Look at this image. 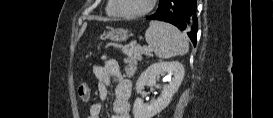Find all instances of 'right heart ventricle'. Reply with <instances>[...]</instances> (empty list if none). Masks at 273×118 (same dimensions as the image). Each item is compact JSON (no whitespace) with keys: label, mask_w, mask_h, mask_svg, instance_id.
<instances>
[{"label":"right heart ventricle","mask_w":273,"mask_h":118,"mask_svg":"<svg viewBox=\"0 0 273 118\" xmlns=\"http://www.w3.org/2000/svg\"><path fill=\"white\" fill-rule=\"evenodd\" d=\"M106 13L109 16H117V12L115 11L114 7H113V3L112 0H110L106 6Z\"/></svg>","instance_id":"1"}]
</instances>
